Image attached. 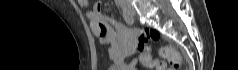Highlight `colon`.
<instances>
[{
  "label": "colon",
  "mask_w": 238,
  "mask_h": 70,
  "mask_svg": "<svg viewBox=\"0 0 238 70\" xmlns=\"http://www.w3.org/2000/svg\"><path fill=\"white\" fill-rule=\"evenodd\" d=\"M160 34L157 30L151 28H143L139 31V46L145 50L146 66L156 70H168L166 63L161 60H153L149 54V44L151 41L158 40ZM159 55L167 60L172 67V70L179 69L181 66V58L177 51L170 46H163L159 50Z\"/></svg>",
  "instance_id": "5ec220e1"
}]
</instances>
